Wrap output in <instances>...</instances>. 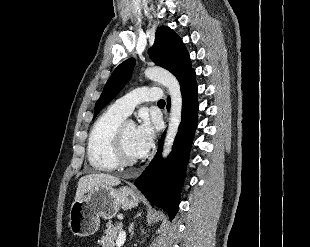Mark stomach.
<instances>
[{
    "instance_id": "obj_1",
    "label": "stomach",
    "mask_w": 310,
    "mask_h": 247,
    "mask_svg": "<svg viewBox=\"0 0 310 247\" xmlns=\"http://www.w3.org/2000/svg\"><path fill=\"white\" fill-rule=\"evenodd\" d=\"M139 201V195L129 187L114 189L111 186H97L72 202L68 215L69 228L75 236L93 235L100 227V218L110 220L120 208H134Z\"/></svg>"
}]
</instances>
